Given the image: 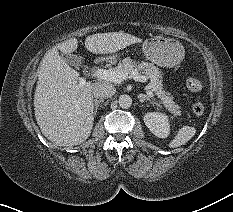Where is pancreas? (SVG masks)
I'll return each mask as SVG.
<instances>
[{"instance_id":"cf45deb5","label":"pancreas","mask_w":233,"mask_h":212,"mask_svg":"<svg viewBox=\"0 0 233 212\" xmlns=\"http://www.w3.org/2000/svg\"><path fill=\"white\" fill-rule=\"evenodd\" d=\"M115 70L126 72L128 77L131 76L132 71L145 74L151 79L150 89L160 99V103L163 104L174 116L181 115L180 107L175 104L173 97L163 90L161 72L156 66H154V64L148 62L137 63L127 57L115 67Z\"/></svg>"}]
</instances>
